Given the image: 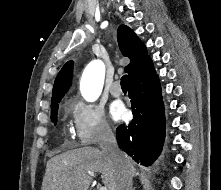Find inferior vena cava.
I'll return each instance as SVG.
<instances>
[{"label":"inferior vena cava","instance_id":"inferior-vena-cava-1","mask_svg":"<svg viewBox=\"0 0 221 190\" xmlns=\"http://www.w3.org/2000/svg\"><path fill=\"white\" fill-rule=\"evenodd\" d=\"M100 148L116 165L119 180L115 190H132V176L127 159L117 145L116 138L109 127H106L99 142Z\"/></svg>","mask_w":221,"mask_h":190}]
</instances>
